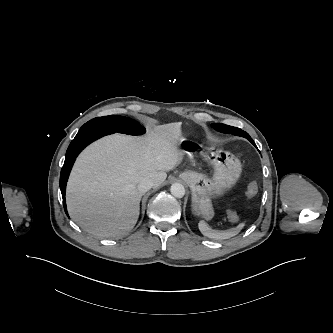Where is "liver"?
Returning a JSON list of instances; mask_svg holds the SVG:
<instances>
[{
  "label": "liver",
  "instance_id": "obj_1",
  "mask_svg": "<svg viewBox=\"0 0 333 333\" xmlns=\"http://www.w3.org/2000/svg\"><path fill=\"white\" fill-rule=\"evenodd\" d=\"M181 123L159 125L145 136L114 134L89 145L71 171L66 203L70 217L98 237H121L136 224L149 178L157 187L180 161Z\"/></svg>",
  "mask_w": 333,
  "mask_h": 333
}]
</instances>
